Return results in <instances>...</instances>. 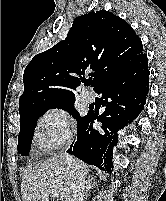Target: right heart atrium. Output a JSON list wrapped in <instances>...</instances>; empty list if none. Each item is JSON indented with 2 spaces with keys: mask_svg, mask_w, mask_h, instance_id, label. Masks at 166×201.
<instances>
[{
  "mask_svg": "<svg viewBox=\"0 0 166 201\" xmlns=\"http://www.w3.org/2000/svg\"><path fill=\"white\" fill-rule=\"evenodd\" d=\"M72 139L71 122L64 109H48L38 119L36 141L43 152L52 153L70 143Z\"/></svg>",
  "mask_w": 166,
  "mask_h": 201,
  "instance_id": "1",
  "label": "right heart atrium"
}]
</instances>
